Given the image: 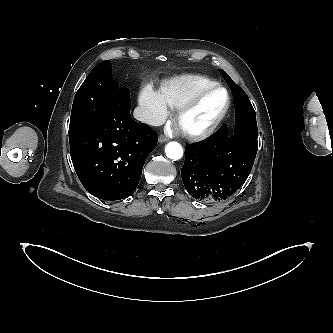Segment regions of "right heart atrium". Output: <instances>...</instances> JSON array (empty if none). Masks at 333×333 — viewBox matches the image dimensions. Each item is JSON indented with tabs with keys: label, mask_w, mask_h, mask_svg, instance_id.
Segmentation results:
<instances>
[{
	"label": "right heart atrium",
	"mask_w": 333,
	"mask_h": 333,
	"mask_svg": "<svg viewBox=\"0 0 333 333\" xmlns=\"http://www.w3.org/2000/svg\"><path fill=\"white\" fill-rule=\"evenodd\" d=\"M141 116L144 122L150 125H157L163 122L168 116V107L160 93L151 86H146L139 97Z\"/></svg>",
	"instance_id": "right-heart-atrium-1"
}]
</instances>
